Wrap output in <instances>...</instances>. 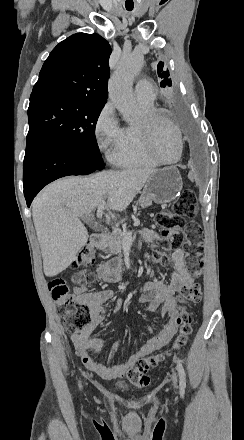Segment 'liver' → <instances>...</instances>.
Segmentation results:
<instances>
[{
  "label": "liver",
  "mask_w": 244,
  "mask_h": 440,
  "mask_svg": "<svg viewBox=\"0 0 244 440\" xmlns=\"http://www.w3.org/2000/svg\"><path fill=\"white\" fill-rule=\"evenodd\" d=\"M154 172V168L108 170L86 178L66 176L46 186L32 204L45 276L53 278L66 270L85 246L89 236L79 218H93L102 200H107L108 210L125 212Z\"/></svg>",
  "instance_id": "6515ba94"
}]
</instances>
